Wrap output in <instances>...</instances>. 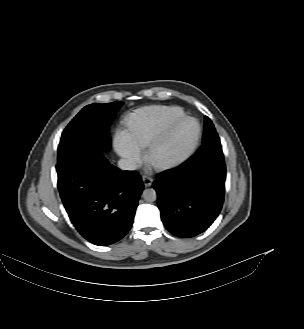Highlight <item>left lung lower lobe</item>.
Wrapping results in <instances>:
<instances>
[{"instance_id": "obj_1", "label": "left lung lower lobe", "mask_w": 304, "mask_h": 329, "mask_svg": "<svg viewBox=\"0 0 304 329\" xmlns=\"http://www.w3.org/2000/svg\"><path fill=\"white\" fill-rule=\"evenodd\" d=\"M172 175H157L153 187L164 226L182 238L210 227L224 201L226 168L218 134L212 133L199 150Z\"/></svg>"}]
</instances>
